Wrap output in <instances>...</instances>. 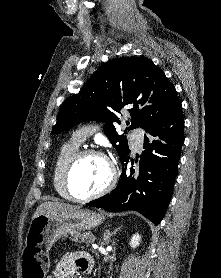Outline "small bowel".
<instances>
[{
    "mask_svg": "<svg viewBox=\"0 0 221 278\" xmlns=\"http://www.w3.org/2000/svg\"><path fill=\"white\" fill-rule=\"evenodd\" d=\"M91 256L82 252H69L63 255L53 268V275L49 278H71L79 271L92 268Z\"/></svg>",
    "mask_w": 221,
    "mask_h": 278,
    "instance_id": "c3829d8e",
    "label": "small bowel"
}]
</instances>
